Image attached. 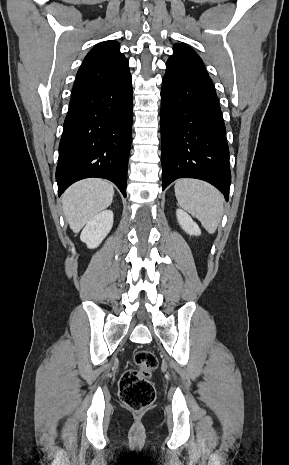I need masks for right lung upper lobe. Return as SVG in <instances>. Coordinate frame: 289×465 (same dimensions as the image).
Masks as SVG:
<instances>
[{
    "label": "right lung upper lobe",
    "mask_w": 289,
    "mask_h": 465,
    "mask_svg": "<svg viewBox=\"0 0 289 465\" xmlns=\"http://www.w3.org/2000/svg\"><path fill=\"white\" fill-rule=\"evenodd\" d=\"M130 75L128 60L115 41L97 44L77 72L72 98L113 87Z\"/></svg>",
    "instance_id": "cb5924a9"
}]
</instances>
